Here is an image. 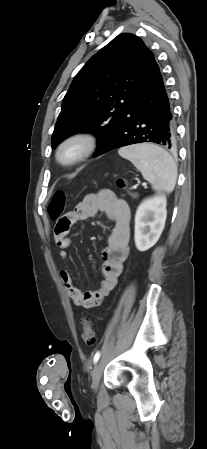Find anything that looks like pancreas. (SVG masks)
Masks as SVG:
<instances>
[{"label": "pancreas", "mask_w": 207, "mask_h": 449, "mask_svg": "<svg viewBox=\"0 0 207 449\" xmlns=\"http://www.w3.org/2000/svg\"><path fill=\"white\" fill-rule=\"evenodd\" d=\"M134 198H136L137 197V194H131Z\"/></svg>", "instance_id": "1"}]
</instances>
